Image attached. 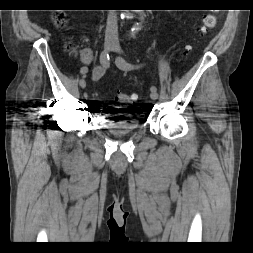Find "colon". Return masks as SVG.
Wrapping results in <instances>:
<instances>
[{"label":"colon","mask_w":253,"mask_h":253,"mask_svg":"<svg viewBox=\"0 0 253 253\" xmlns=\"http://www.w3.org/2000/svg\"><path fill=\"white\" fill-rule=\"evenodd\" d=\"M54 22H55L56 26L63 27L65 24L64 16L62 14H57L54 18ZM215 25H216V16L215 15L210 14V15L205 16L204 20H203V26L200 29V34L204 35L209 30L213 29L215 27ZM66 50L68 52H72L74 50V45L68 44L66 46ZM81 56L85 60L89 59L88 52H83L81 54ZM136 99H137L136 94H127V93L119 92L116 95V100L119 101L120 103H123V104H130V103L136 101Z\"/></svg>","instance_id":"1"}]
</instances>
